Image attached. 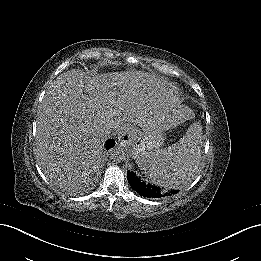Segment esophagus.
<instances>
[{"label":"esophagus","mask_w":261,"mask_h":261,"mask_svg":"<svg viewBox=\"0 0 261 261\" xmlns=\"http://www.w3.org/2000/svg\"><path fill=\"white\" fill-rule=\"evenodd\" d=\"M132 135H133L132 128L127 127L122 132H120V135L118 138L121 141V144L123 146H126L130 143Z\"/></svg>","instance_id":"obj_1"}]
</instances>
